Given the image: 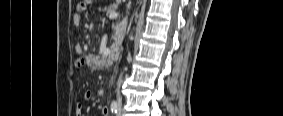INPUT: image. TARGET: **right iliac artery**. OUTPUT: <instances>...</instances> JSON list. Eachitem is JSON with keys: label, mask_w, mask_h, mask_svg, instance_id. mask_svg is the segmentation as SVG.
Listing matches in <instances>:
<instances>
[{"label": "right iliac artery", "mask_w": 283, "mask_h": 116, "mask_svg": "<svg viewBox=\"0 0 283 116\" xmlns=\"http://www.w3.org/2000/svg\"><path fill=\"white\" fill-rule=\"evenodd\" d=\"M111 111H112L113 113H117V111H118V105H117L116 102H112V103H111Z\"/></svg>", "instance_id": "82829eb1"}]
</instances>
